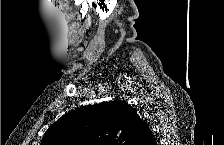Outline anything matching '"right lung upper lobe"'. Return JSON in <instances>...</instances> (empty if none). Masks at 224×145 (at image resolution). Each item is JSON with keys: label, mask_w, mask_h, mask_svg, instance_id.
<instances>
[{"label": "right lung upper lobe", "mask_w": 224, "mask_h": 145, "mask_svg": "<svg viewBox=\"0 0 224 145\" xmlns=\"http://www.w3.org/2000/svg\"><path fill=\"white\" fill-rule=\"evenodd\" d=\"M148 124L124 101L82 107L63 115L41 145H156Z\"/></svg>", "instance_id": "1"}]
</instances>
